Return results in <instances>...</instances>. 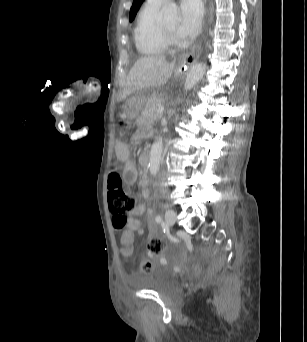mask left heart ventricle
Here are the masks:
<instances>
[{
    "label": "left heart ventricle",
    "instance_id": "b2bd125f",
    "mask_svg": "<svg viewBox=\"0 0 307 342\" xmlns=\"http://www.w3.org/2000/svg\"><path fill=\"white\" fill-rule=\"evenodd\" d=\"M162 31L165 35V37L171 42L173 46H179L180 43L177 41L175 37V30L176 25L174 24H164L161 25Z\"/></svg>",
    "mask_w": 307,
    "mask_h": 342
}]
</instances>
